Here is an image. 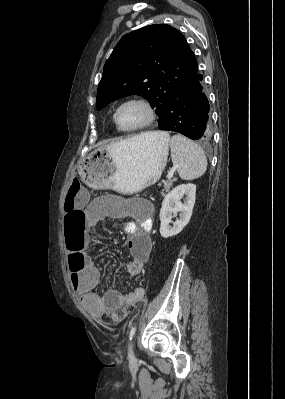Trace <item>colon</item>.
<instances>
[{"mask_svg":"<svg viewBox=\"0 0 285 399\" xmlns=\"http://www.w3.org/2000/svg\"><path fill=\"white\" fill-rule=\"evenodd\" d=\"M82 190L83 185L77 179L72 182L69 188L64 208L66 220L70 226H75L85 219V214L81 211L78 203V198ZM66 243L69 252V268L72 272H78L85 266V248L77 241L75 235L71 231L66 232ZM131 307L130 304H126L114 319L119 320L126 317ZM105 320L108 321V319Z\"/></svg>","mask_w":285,"mask_h":399,"instance_id":"5ec220e1","label":"colon"}]
</instances>
